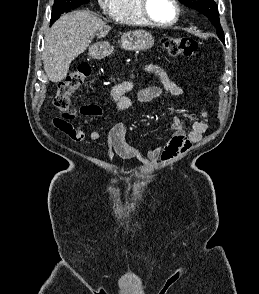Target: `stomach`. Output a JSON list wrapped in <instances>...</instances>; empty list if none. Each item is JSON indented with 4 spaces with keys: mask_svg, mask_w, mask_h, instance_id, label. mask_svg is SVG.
Returning <instances> with one entry per match:
<instances>
[{
    "mask_svg": "<svg viewBox=\"0 0 259 294\" xmlns=\"http://www.w3.org/2000/svg\"><path fill=\"white\" fill-rule=\"evenodd\" d=\"M154 45L152 35L147 31H130L121 38V47L127 51H145ZM89 53L93 58L103 57L108 53L106 42L98 43L89 48Z\"/></svg>",
    "mask_w": 259,
    "mask_h": 294,
    "instance_id": "stomach-1",
    "label": "stomach"
}]
</instances>
